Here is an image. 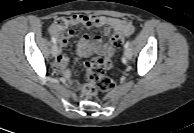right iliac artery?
<instances>
[{"mask_svg":"<svg viewBox=\"0 0 194 133\" xmlns=\"http://www.w3.org/2000/svg\"><path fill=\"white\" fill-rule=\"evenodd\" d=\"M51 40H52V42H53L54 44H56V38H55V37H52Z\"/></svg>","mask_w":194,"mask_h":133,"instance_id":"1","label":"right iliac artery"}]
</instances>
